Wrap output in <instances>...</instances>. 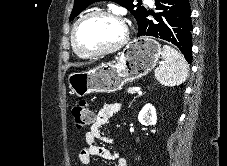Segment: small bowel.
<instances>
[{
    "instance_id": "small-bowel-1",
    "label": "small bowel",
    "mask_w": 227,
    "mask_h": 166,
    "mask_svg": "<svg viewBox=\"0 0 227 166\" xmlns=\"http://www.w3.org/2000/svg\"><path fill=\"white\" fill-rule=\"evenodd\" d=\"M120 110V104H104L99 111L94 114L91 128L84 134L85 148L80 152L79 160L82 165L89 166L91 158L99 156L105 160H116L117 166H127L126 160L112 153L105 147L96 145L97 141L110 143L111 139L101 132V128Z\"/></svg>"
}]
</instances>
